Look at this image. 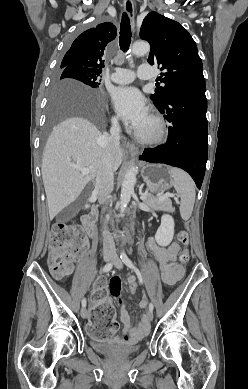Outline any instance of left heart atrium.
<instances>
[{"mask_svg":"<svg viewBox=\"0 0 248 389\" xmlns=\"http://www.w3.org/2000/svg\"><path fill=\"white\" fill-rule=\"evenodd\" d=\"M111 99L120 117L134 129L139 130L148 119L146 101L135 87H117Z\"/></svg>","mask_w":248,"mask_h":389,"instance_id":"1","label":"left heart atrium"}]
</instances>
